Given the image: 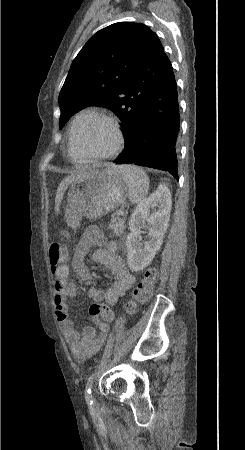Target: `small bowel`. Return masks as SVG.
I'll return each instance as SVG.
<instances>
[{
  "label": "small bowel",
  "mask_w": 245,
  "mask_h": 450,
  "mask_svg": "<svg viewBox=\"0 0 245 450\" xmlns=\"http://www.w3.org/2000/svg\"><path fill=\"white\" fill-rule=\"evenodd\" d=\"M93 247L96 250L92 255V260L107 269L113 276V282L106 290L101 291L96 287L89 288L88 295L93 301L115 305L135 282V277L127 269L117 251V244L114 241L106 240L96 227H89L85 230L70 263H64L52 269L55 317L61 325L71 354L80 363L86 361L101 349L109 332V326L106 322L92 318L97 330L86 327L80 333L70 318L68 299L77 295L78 285L75 282H68V278L71 272L76 273L82 281L92 278V273L85 265L84 258Z\"/></svg>",
  "instance_id": "obj_1"
}]
</instances>
